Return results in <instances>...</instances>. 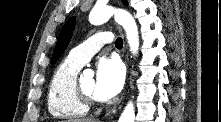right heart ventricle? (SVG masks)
Returning <instances> with one entry per match:
<instances>
[{
  "label": "right heart ventricle",
  "mask_w": 221,
  "mask_h": 122,
  "mask_svg": "<svg viewBox=\"0 0 221 122\" xmlns=\"http://www.w3.org/2000/svg\"><path fill=\"white\" fill-rule=\"evenodd\" d=\"M82 66L69 57L55 69L48 86L49 113L56 118H79L88 108L80 102L75 92V82Z\"/></svg>",
  "instance_id": "obj_1"
}]
</instances>
